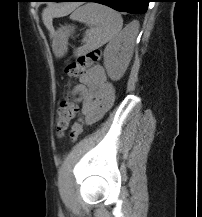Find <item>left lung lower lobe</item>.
I'll return each instance as SVG.
<instances>
[{
  "instance_id": "1",
  "label": "left lung lower lobe",
  "mask_w": 202,
  "mask_h": 217,
  "mask_svg": "<svg viewBox=\"0 0 202 217\" xmlns=\"http://www.w3.org/2000/svg\"><path fill=\"white\" fill-rule=\"evenodd\" d=\"M55 2H97L107 5L117 11L144 14L150 0H54Z\"/></svg>"
}]
</instances>
